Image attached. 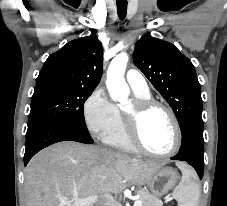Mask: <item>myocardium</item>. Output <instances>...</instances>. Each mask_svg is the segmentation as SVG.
I'll return each instance as SVG.
<instances>
[{
  "label": "myocardium",
  "instance_id": "obj_1",
  "mask_svg": "<svg viewBox=\"0 0 227 206\" xmlns=\"http://www.w3.org/2000/svg\"><path fill=\"white\" fill-rule=\"evenodd\" d=\"M154 108H160L167 113L172 121L175 130V143L173 148L166 153H156L149 150L141 138V125L146 114ZM125 131L130 143L140 152L158 158H166L174 155L180 148L182 143V131L179 121L173 110L165 103L152 99H139L136 98L132 102L130 111L123 113Z\"/></svg>",
  "mask_w": 227,
  "mask_h": 206
}]
</instances>
